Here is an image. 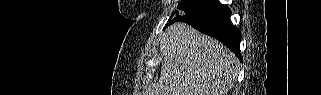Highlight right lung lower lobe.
<instances>
[{"instance_id":"obj_1","label":"right lung lower lobe","mask_w":321,"mask_h":95,"mask_svg":"<svg viewBox=\"0 0 321 95\" xmlns=\"http://www.w3.org/2000/svg\"><path fill=\"white\" fill-rule=\"evenodd\" d=\"M230 16V8L221 4L218 0H214L198 12L176 21L190 24L199 31L215 37L242 60L240 55L241 32L233 26Z\"/></svg>"}]
</instances>
